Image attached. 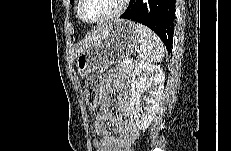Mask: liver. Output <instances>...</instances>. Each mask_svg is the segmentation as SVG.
Segmentation results:
<instances>
[{"mask_svg": "<svg viewBox=\"0 0 231 151\" xmlns=\"http://www.w3.org/2000/svg\"><path fill=\"white\" fill-rule=\"evenodd\" d=\"M112 24L111 23H104L102 25H99L96 29L92 30L91 33H89L79 44L78 48V55L85 52L87 49L92 47L97 43V41L101 38L102 34L105 33L108 26Z\"/></svg>", "mask_w": 231, "mask_h": 151, "instance_id": "liver-1", "label": "liver"}]
</instances>
